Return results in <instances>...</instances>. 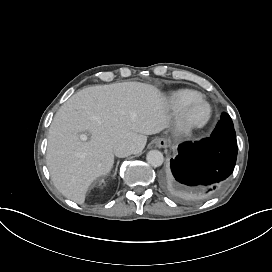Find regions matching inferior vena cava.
Returning <instances> with one entry per match:
<instances>
[{
    "mask_svg": "<svg viewBox=\"0 0 272 272\" xmlns=\"http://www.w3.org/2000/svg\"><path fill=\"white\" fill-rule=\"evenodd\" d=\"M135 153V146L130 143L128 140H123L115 145L114 154L117 157H127Z\"/></svg>",
    "mask_w": 272,
    "mask_h": 272,
    "instance_id": "obj_1",
    "label": "inferior vena cava"
}]
</instances>
